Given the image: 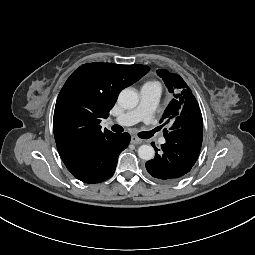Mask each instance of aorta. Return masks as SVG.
I'll return each mask as SVG.
<instances>
[{"mask_svg":"<svg viewBox=\"0 0 255 255\" xmlns=\"http://www.w3.org/2000/svg\"><path fill=\"white\" fill-rule=\"evenodd\" d=\"M139 102V95L133 88L123 89L118 96V103L125 109H133ZM138 155L143 160H151L155 156V150L151 145H141L138 148Z\"/></svg>","mask_w":255,"mask_h":255,"instance_id":"obj_1","label":"aorta"}]
</instances>
